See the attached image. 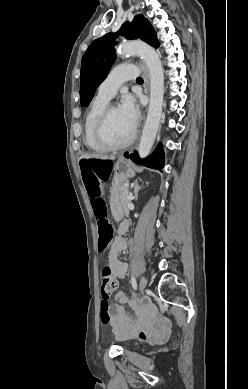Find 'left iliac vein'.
<instances>
[{"label":"left iliac vein","mask_w":248,"mask_h":389,"mask_svg":"<svg viewBox=\"0 0 248 389\" xmlns=\"http://www.w3.org/2000/svg\"><path fill=\"white\" fill-rule=\"evenodd\" d=\"M146 286H147V279L143 276V277H141L140 282H139V290H140L141 294L144 293Z\"/></svg>","instance_id":"1"}]
</instances>
